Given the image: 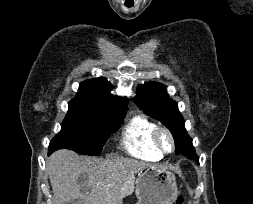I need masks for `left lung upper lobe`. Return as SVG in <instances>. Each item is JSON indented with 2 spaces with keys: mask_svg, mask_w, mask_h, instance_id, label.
<instances>
[{
  "mask_svg": "<svg viewBox=\"0 0 253 204\" xmlns=\"http://www.w3.org/2000/svg\"><path fill=\"white\" fill-rule=\"evenodd\" d=\"M134 102L145 113L161 121L171 131L175 141L176 154L188 157L190 153L195 151L192 139L186 133L178 105L169 98L164 85L148 82L139 86Z\"/></svg>",
  "mask_w": 253,
  "mask_h": 204,
  "instance_id": "obj_1",
  "label": "left lung upper lobe"
}]
</instances>
